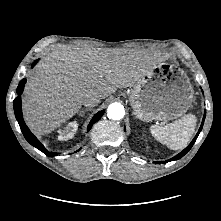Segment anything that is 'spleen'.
Segmentation results:
<instances>
[{
    "instance_id": "3e777b00",
    "label": "spleen",
    "mask_w": 221,
    "mask_h": 221,
    "mask_svg": "<svg viewBox=\"0 0 221 221\" xmlns=\"http://www.w3.org/2000/svg\"><path fill=\"white\" fill-rule=\"evenodd\" d=\"M196 127V117L187 114L181 119L165 126L152 125L150 132L152 136L172 150L183 149L192 138Z\"/></svg>"
}]
</instances>
